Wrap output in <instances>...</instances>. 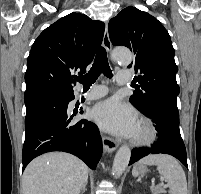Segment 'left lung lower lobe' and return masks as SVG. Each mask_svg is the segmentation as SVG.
<instances>
[{
  "instance_id": "obj_1",
  "label": "left lung lower lobe",
  "mask_w": 201,
  "mask_h": 194,
  "mask_svg": "<svg viewBox=\"0 0 201 194\" xmlns=\"http://www.w3.org/2000/svg\"><path fill=\"white\" fill-rule=\"evenodd\" d=\"M144 114L154 122V127L158 132V141L150 148L134 149L129 165L148 154L164 153L174 156L188 167L186 149L179 130L177 104L159 101L154 103Z\"/></svg>"
}]
</instances>
